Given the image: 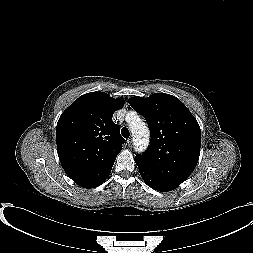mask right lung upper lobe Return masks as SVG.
<instances>
[{
	"mask_svg": "<svg viewBox=\"0 0 253 253\" xmlns=\"http://www.w3.org/2000/svg\"><path fill=\"white\" fill-rule=\"evenodd\" d=\"M124 105L104 92L80 96L60 116L57 152L66 174L87 188L108 177L125 140L112 115Z\"/></svg>",
	"mask_w": 253,
	"mask_h": 253,
	"instance_id": "obj_1",
	"label": "right lung upper lobe"
}]
</instances>
